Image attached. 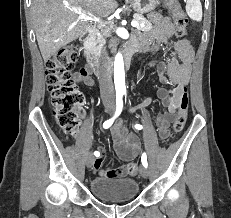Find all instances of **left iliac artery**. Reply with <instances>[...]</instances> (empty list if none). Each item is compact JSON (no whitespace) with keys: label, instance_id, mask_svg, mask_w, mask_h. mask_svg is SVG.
I'll list each match as a JSON object with an SVG mask.
<instances>
[{"label":"left iliac artery","instance_id":"left-iliac-artery-1","mask_svg":"<svg viewBox=\"0 0 231 218\" xmlns=\"http://www.w3.org/2000/svg\"><path fill=\"white\" fill-rule=\"evenodd\" d=\"M135 128L138 130H141L143 128V126L140 124H136ZM141 161H142L143 166L147 168L148 164H147V158H146L145 153L142 154Z\"/></svg>","mask_w":231,"mask_h":218}]
</instances>
